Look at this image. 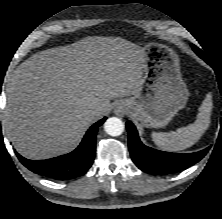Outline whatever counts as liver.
I'll return each instance as SVG.
<instances>
[{
  "instance_id": "1",
  "label": "liver",
  "mask_w": 222,
  "mask_h": 219,
  "mask_svg": "<svg viewBox=\"0 0 222 219\" xmlns=\"http://www.w3.org/2000/svg\"><path fill=\"white\" fill-rule=\"evenodd\" d=\"M142 62V48L120 37H86L32 55L6 87V132L15 149L31 160L75 149L111 99L137 93Z\"/></svg>"
}]
</instances>
